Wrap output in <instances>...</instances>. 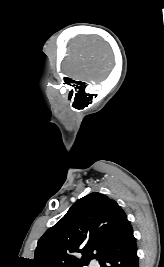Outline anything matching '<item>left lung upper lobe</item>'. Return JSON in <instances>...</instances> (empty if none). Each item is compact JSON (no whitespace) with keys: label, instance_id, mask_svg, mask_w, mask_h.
I'll list each match as a JSON object with an SVG mask.
<instances>
[{"label":"left lung upper lobe","instance_id":"obj_1","mask_svg":"<svg viewBox=\"0 0 164 267\" xmlns=\"http://www.w3.org/2000/svg\"><path fill=\"white\" fill-rule=\"evenodd\" d=\"M116 201L98 192L74 203L65 216L39 239L33 267H85L100 260L127 222ZM83 256L76 258L73 253Z\"/></svg>","mask_w":164,"mask_h":267}]
</instances>
